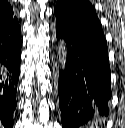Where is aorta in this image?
Masks as SVG:
<instances>
[{"label":"aorta","instance_id":"obj_1","mask_svg":"<svg viewBox=\"0 0 125 128\" xmlns=\"http://www.w3.org/2000/svg\"><path fill=\"white\" fill-rule=\"evenodd\" d=\"M58 50H59L60 57L63 59L66 56V48L63 42L60 43Z\"/></svg>","mask_w":125,"mask_h":128}]
</instances>
